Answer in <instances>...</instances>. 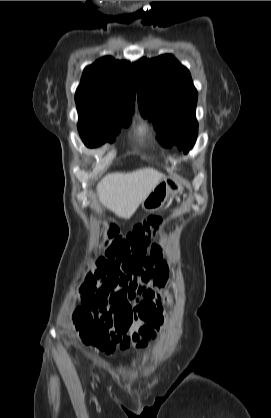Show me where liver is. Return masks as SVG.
<instances>
[{"mask_svg": "<svg viewBox=\"0 0 271 418\" xmlns=\"http://www.w3.org/2000/svg\"><path fill=\"white\" fill-rule=\"evenodd\" d=\"M165 176L151 167L106 175L97 186L100 202L116 216L128 219Z\"/></svg>", "mask_w": 271, "mask_h": 418, "instance_id": "6515ba94", "label": "liver"}]
</instances>
